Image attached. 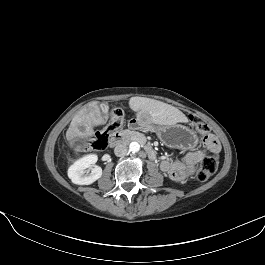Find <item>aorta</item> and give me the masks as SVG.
<instances>
[{
    "label": "aorta",
    "instance_id": "1",
    "mask_svg": "<svg viewBox=\"0 0 265 265\" xmlns=\"http://www.w3.org/2000/svg\"><path fill=\"white\" fill-rule=\"evenodd\" d=\"M129 150L132 153H137L140 150V144L138 142H131L129 144Z\"/></svg>",
    "mask_w": 265,
    "mask_h": 265
}]
</instances>
